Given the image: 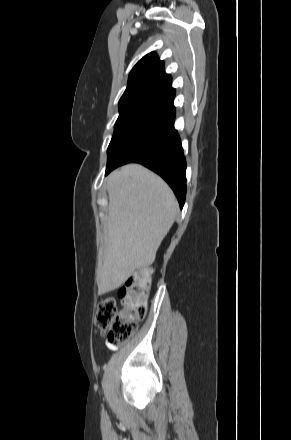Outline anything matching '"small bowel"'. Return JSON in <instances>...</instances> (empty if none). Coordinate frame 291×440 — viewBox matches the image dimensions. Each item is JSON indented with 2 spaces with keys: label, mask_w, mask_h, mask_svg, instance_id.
I'll return each instance as SVG.
<instances>
[{
  "label": "small bowel",
  "mask_w": 291,
  "mask_h": 440,
  "mask_svg": "<svg viewBox=\"0 0 291 440\" xmlns=\"http://www.w3.org/2000/svg\"><path fill=\"white\" fill-rule=\"evenodd\" d=\"M106 345H107V347H108L109 349H111V350H115V349L117 348L114 344H112V343H110V342H108V341H107Z\"/></svg>",
  "instance_id": "1"
}]
</instances>
